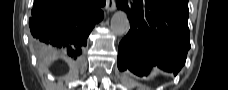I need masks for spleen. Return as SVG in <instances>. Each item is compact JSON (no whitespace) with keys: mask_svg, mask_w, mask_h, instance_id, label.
Masks as SVG:
<instances>
[{"mask_svg":"<svg viewBox=\"0 0 228 90\" xmlns=\"http://www.w3.org/2000/svg\"><path fill=\"white\" fill-rule=\"evenodd\" d=\"M157 71H158V69H156V68L153 69V72H154V73H156Z\"/></svg>","mask_w":228,"mask_h":90,"instance_id":"3e777b00","label":"spleen"}]
</instances>
